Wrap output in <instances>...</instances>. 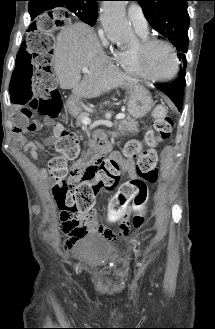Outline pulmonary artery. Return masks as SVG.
Masks as SVG:
<instances>
[{
    "label": "pulmonary artery",
    "instance_id": "obj_1",
    "mask_svg": "<svg viewBox=\"0 0 215 329\" xmlns=\"http://www.w3.org/2000/svg\"><path fill=\"white\" fill-rule=\"evenodd\" d=\"M128 18L134 29L141 34H148V23L138 4H132L128 8Z\"/></svg>",
    "mask_w": 215,
    "mask_h": 329
}]
</instances>
